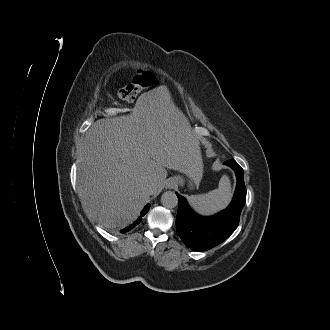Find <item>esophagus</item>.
<instances>
[{"mask_svg": "<svg viewBox=\"0 0 330 330\" xmlns=\"http://www.w3.org/2000/svg\"><path fill=\"white\" fill-rule=\"evenodd\" d=\"M177 186V182L175 179H170L168 180V182L166 183V188L172 189L174 187Z\"/></svg>", "mask_w": 330, "mask_h": 330, "instance_id": "esophagus-1", "label": "esophagus"}]
</instances>
